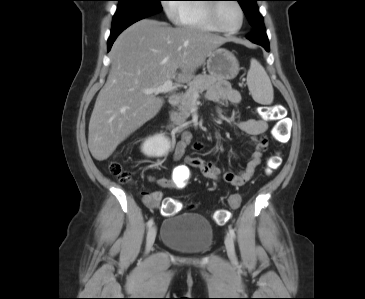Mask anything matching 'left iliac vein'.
<instances>
[{"mask_svg": "<svg viewBox=\"0 0 365 299\" xmlns=\"http://www.w3.org/2000/svg\"><path fill=\"white\" fill-rule=\"evenodd\" d=\"M225 246H226V251H227V255H228L229 259L233 263H236L237 259H236V254H235V246H234L232 236L230 234H227L225 237Z\"/></svg>", "mask_w": 365, "mask_h": 299, "instance_id": "left-iliac-vein-1", "label": "left iliac vein"}]
</instances>
